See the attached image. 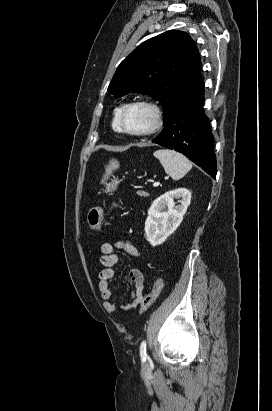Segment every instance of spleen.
<instances>
[{"mask_svg":"<svg viewBox=\"0 0 272 411\" xmlns=\"http://www.w3.org/2000/svg\"><path fill=\"white\" fill-rule=\"evenodd\" d=\"M162 164L165 172L173 180L183 178L192 168V163L183 154L174 150L160 149L153 153Z\"/></svg>","mask_w":272,"mask_h":411,"instance_id":"spleen-1","label":"spleen"}]
</instances>
